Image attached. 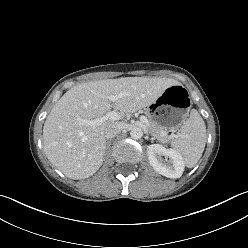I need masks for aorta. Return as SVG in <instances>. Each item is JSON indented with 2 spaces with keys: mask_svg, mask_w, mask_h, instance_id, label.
I'll return each mask as SVG.
<instances>
[{
  "mask_svg": "<svg viewBox=\"0 0 248 248\" xmlns=\"http://www.w3.org/2000/svg\"><path fill=\"white\" fill-rule=\"evenodd\" d=\"M130 136H131V138L138 140L143 136V130L139 127H134L130 131Z\"/></svg>",
  "mask_w": 248,
  "mask_h": 248,
  "instance_id": "aorta-1",
  "label": "aorta"
}]
</instances>
